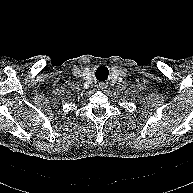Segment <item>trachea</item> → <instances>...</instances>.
Masks as SVG:
<instances>
[{"instance_id": "obj_1", "label": "trachea", "mask_w": 193, "mask_h": 193, "mask_svg": "<svg viewBox=\"0 0 193 193\" xmlns=\"http://www.w3.org/2000/svg\"><path fill=\"white\" fill-rule=\"evenodd\" d=\"M102 70H105V72L108 73V69H107L106 67H103V66L99 67L96 72H97L98 74H99V72H100V74L103 75Z\"/></svg>"}]
</instances>
